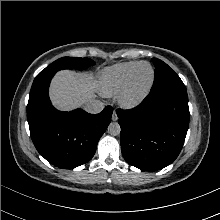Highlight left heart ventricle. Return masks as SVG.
<instances>
[{
	"instance_id": "1",
	"label": "left heart ventricle",
	"mask_w": 220,
	"mask_h": 220,
	"mask_svg": "<svg viewBox=\"0 0 220 220\" xmlns=\"http://www.w3.org/2000/svg\"><path fill=\"white\" fill-rule=\"evenodd\" d=\"M151 77V70L148 66L142 65L136 71L134 77V88L140 90L146 86Z\"/></svg>"
}]
</instances>
